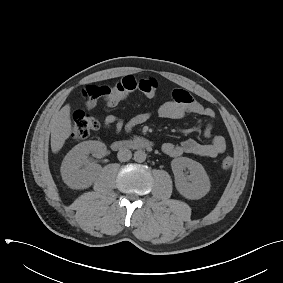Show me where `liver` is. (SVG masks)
<instances>
[{
    "mask_svg": "<svg viewBox=\"0 0 283 283\" xmlns=\"http://www.w3.org/2000/svg\"><path fill=\"white\" fill-rule=\"evenodd\" d=\"M71 134L70 105L67 104L51 120V150L57 153Z\"/></svg>",
    "mask_w": 283,
    "mask_h": 283,
    "instance_id": "liver-1",
    "label": "liver"
}]
</instances>
